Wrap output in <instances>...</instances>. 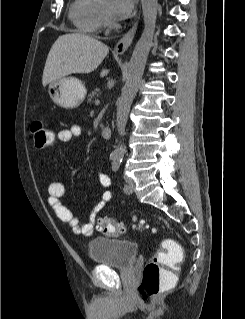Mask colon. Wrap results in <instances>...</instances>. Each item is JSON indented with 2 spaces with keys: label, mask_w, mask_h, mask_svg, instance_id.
<instances>
[{
  "label": "colon",
  "mask_w": 245,
  "mask_h": 319,
  "mask_svg": "<svg viewBox=\"0 0 245 319\" xmlns=\"http://www.w3.org/2000/svg\"><path fill=\"white\" fill-rule=\"evenodd\" d=\"M30 129L37 147L44 148L53 144L54 135L41 120L33 121ZM139 227L142 230H149V227L144 224H140ZM97 229L103 234L112 236H122L126 231L122 223L109 217L98 219ZM183 259L184 251L178 243L171 239L163 240L160 250L144 267L143 279L137 289L139 297L150 304L172 282L167 268Z\"/></svg>",
  "instance_id": "obj_1"
}]
</instances>
